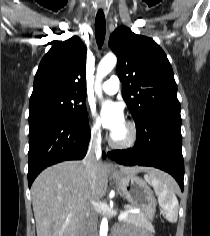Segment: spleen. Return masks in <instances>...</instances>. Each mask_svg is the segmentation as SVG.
<instances>
[{
    "instance_id": "spleen-1",
    "label": "spleen",
    "mask_w": 210,
    "mask_h": 236,
    "mask_svg": "<svg viewBox=\"0 0 210 236\" xmlns=\"http://www.w3.org/2000/svg\"><path fill=\"white\" fill-rule=\"evenodd\" d=\"M144 178L154 188L159 205L165 212L168 221L175 223L178 217V200L172 190V179L156 173H148Z\"/></svg>"
}]
</instances>
